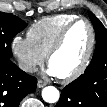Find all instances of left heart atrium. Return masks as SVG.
<instances>
[{"mask_svg":"<svg viewBox=\"0 0 107 107\" xmlns=\"http://www.w3.org/2000/svg\"><path fill=\"white\" fill-rule=\"evenodd\" d=\"M47 74L50 76H57L56 72L52 69L51 66L48 67Z\"/></svg>","mask_w":107,"mask_h":107,"instance_id":"left-heart-atrium-1","label":"left heart atrium"}]
</instances>
